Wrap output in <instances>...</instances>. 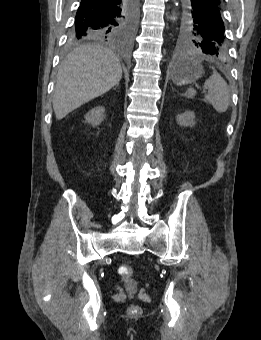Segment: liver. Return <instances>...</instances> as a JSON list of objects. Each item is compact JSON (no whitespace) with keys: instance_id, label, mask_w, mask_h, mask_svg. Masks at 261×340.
<instances>
[{"instance_id":"obj_1","label":"liver","mask_w":261,"mask_h":340,"mask_svg":"<svg viewBox=\"0 0 261 340\" xmlns=\"http://www.w3.org/2000/svg\"><path fill=\"white\" fill-rule=\"evenodd\" d=\"M122 78L118 56L99 45L74 49L62 62L55 85L53 109L61 120L73 110L106 93Z\"/></svg>"}]
</instances>
